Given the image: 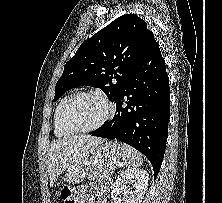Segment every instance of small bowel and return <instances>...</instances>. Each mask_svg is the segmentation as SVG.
Listing matches in <instances>:
<instances>
[{
  "instance_id": "c3829d8e",
  "label": "small bowel",
  "mask_w": 222,
  "mask_h": 203,
  "mask_svg": "<svg viewBox=\"0 0 222 203\" xmlns=\"http://www.w3.org/2000/svg\"><path fill=\"white\" fill-rule=\"evenodd\" d=\"M100 195V191L99 190H94L93 188L89 187V186H83L79 189H77L74 193V203H80L81 200L85 199V198H90V197H95L97 202H101L98 201V196Z\"/></svg>"
}]
</instances>
